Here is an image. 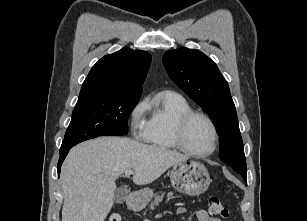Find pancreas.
<instances>
[{"label": "pancreas", "mask_w": 307, "mask_h": 221, "mask_svg": "<svg viewBox=\"0 0 307 221\" xmlns=\"http://www.w3.org/2000/svg\"><path fill=\"white\" fill-rule=\"evenodd\" d=\"M163 195H164V193H162L161 195L160 194H155V196H154V201H152L151 202V204L149 205V207H150V209H154L155 208V206H158V204L160 203V202H162V200H163ZM173 198V193L172 192H169L168 194H167V201L169 200V199H172Z\"/></svg>", "instance_id": "obj_1"}]
</instances>
